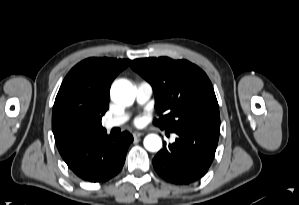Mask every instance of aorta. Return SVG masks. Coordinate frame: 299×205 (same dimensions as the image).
Segmentation results:
<instances>
[{
	"instance_id": "aorta-1",
	"label": "aorta",
	"mask_w": 299,
	"mask_h": 205,
	"mask_svg": "<svg viewBox=\"0 0 299 205\" xmlns=\"http://www.w3.org/2000/svg\"><path fill=\"white\" fill-rule=\"evenodd\" d=\"M111 98L121 105H131L135 100L133 85L127 80H119L111 87ZM144 147L150 152H157L162 147V140L156 134H149L144 138Z\"/></svg>"
}]
</instances>
